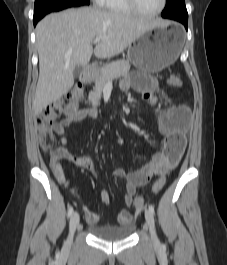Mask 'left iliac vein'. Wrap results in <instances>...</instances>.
<instances>
[{"label": "left iliac vein", "instance_id": "4c4485c4", "mask_svg": "<svg viewBox=\"0 0 227 265\" xmlns=\"http://www.w3.org/2000/svg\"><path fill=\"white\" fill-rule=\"evenodd\" d=\"M145 219L149 227L151 239L155 244H157L158 238H157L156 231H155L154 218H153V214L151 213L149 209H145Z\"/></svg>", "mask_w": 227, "mask_h": 265}]
</instances>
